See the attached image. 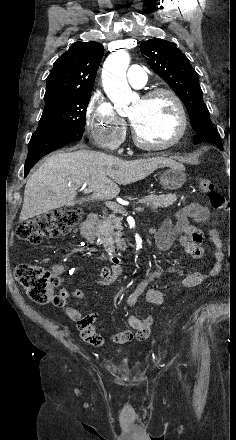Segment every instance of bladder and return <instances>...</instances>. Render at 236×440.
<instances>
[{"mask_svg":"<svg viewBox=\"0 0 236 440\" xmlns=\"http://www.w3.org/2000/svg\"><path fill=\"white\" fill-rule=\"evenodd\" d=\"M116 354H120V353H122L123 352V349H121V348H118L116 351Z\"/></svg>","mask_w":236,"mask_h":440,"instance_id":"31cf9c89","label":"bladder"}]
</instances>
